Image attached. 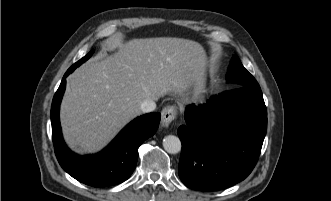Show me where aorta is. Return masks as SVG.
<instances>
[{
  "mask_svg": "<svg viewBox=\"0 0 331 201\" xmlns=\"http://www.w3.org/2000/svg\"><path fill=\"white\" fill-rule=\"evenodd\" d=\"M163 147L170 154H176L181 151V141L177 136L168 135L163 139Z\"/></svg>",
  "mask_w": 331,
  "mask_h": 201,
  "instance_id": "762f6f07",
  "label": "aorta"
}]
</instances>
